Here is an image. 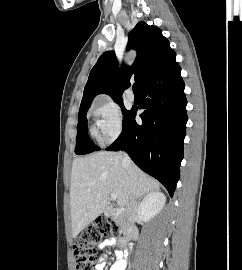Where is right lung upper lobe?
I'll list each match as a JSON object with an SVG mask.
<instances>
[{"label": "right lung upper lobe", "mask_w": 242, "mask_h": 270, "mask_svg": "<svg viewBox=\"0 0 242 270\" xmlns=\"http://www.w3.org/2000/svg\"><path fill=\"white\" fill-rule=\"evenodd\" d=\"M127 49H135L137 56L131 67L122 66L121 70L113 51H106L99 57L85 85L80 110L90 107L93 98L101 93L110 94L115 101L121 100L123 90L130 86L131 74H135V81L142 88L176 57L162 31L145 22H139L129 33Z\"/></svg>", "instance_id": "obj_1"}]
</instances>
